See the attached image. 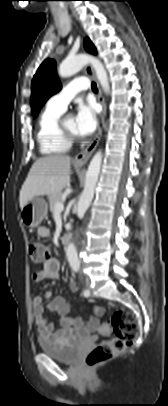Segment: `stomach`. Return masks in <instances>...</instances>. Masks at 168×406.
I'll return each instance as SVG.
<instances>
[{
  "label": "stomach",
  "mask_w": 168,
  "mask_h": 406,
  "mask_svg": "<svg viewBox=\"0 0 168 406\" xmlns=\"http://www.w3.org/2000/svg\"><path fill=\"white\" fill-rule=\"evenodd\" d=\"M48 206L41 197H34L21 209V222L27 227H36L46 217Z\"/></svg>",
  "instance_id": "obj_1"
}]
</instances>
